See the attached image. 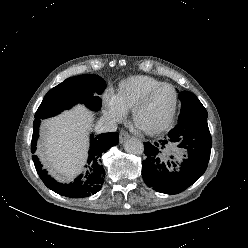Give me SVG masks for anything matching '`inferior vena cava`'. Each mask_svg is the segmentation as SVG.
I'll return each instance as SVG.
<instances>
[{
  "label": "inferior vena cava",
  "mask_w": 248,
  "mask_h": 248,
  "mask_svg": "<svg viewBox=\"0 0 248 248\" xmlns=\"http://www.w3.org/2000/svg\"><path fill=\"white\" fill-rule=\"evenodd\" d=\"M98 132H114L117 130L116 122L109 117H101L96 126Z\"/></svg>",
  "instance_id": "602c4592"
}]
</instances>
